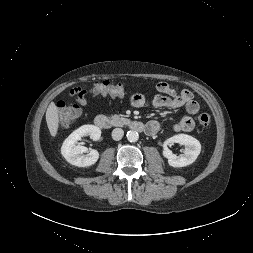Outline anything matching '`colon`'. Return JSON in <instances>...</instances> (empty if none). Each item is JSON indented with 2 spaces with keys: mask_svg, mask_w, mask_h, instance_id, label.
Returning <instances> with one entry per match:
<instances>
[{
  "mask_svg": "<svg viewBox=\"0 0 253 253\" xmlns=\"http://www.w3.org/2000/svg\"><path fill=\"white\" fill-rule=\"evenodd\" d=\"M125 87L121 83H113L110 81L95 82L90 89L93 94H99L108 97H118L124 94ZM87 93V92H86ZM59 124L66 128L72 125L81 114L78 105H68L64 102L58 103ZM211 121V117L207 112H203L198 116V123L202 127H207Z\"/></svg>",
  "mask_w": 253,
  "mask_h": 253,
  "instance_id": "5ec220e1",
  "label": "colon"
}]
</instances>
